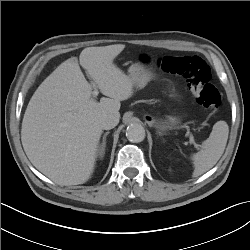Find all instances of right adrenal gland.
<instances>
[{
  "instance_id": "obj_1",
  "label": "right adrenal gland",
  "mask_w": 250,
  "mask_h": 250,
  "mask_svg": "<svg viewBox=\"0 0 250 250\" xmlns=\"http://www.w3.org/2000/svg\"><path fill=\"white\" fill-rule=\"evenodd\" d=\"M109 134V132H106L103 136V141L101 143V145L98 148V156L103 158L104 154H105V147H106V137Z\"/></svg>"
}]
</instances>
